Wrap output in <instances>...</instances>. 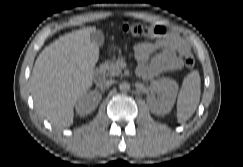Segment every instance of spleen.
<instances>
[{
  "label": "spleen",
  "mask_w": 243,
  "mask_h": 167,
  "mask_svg": "<svg viewBox=\"0 0 243 167\" xmlns=\"http://www.w3.org/2000/svg\"><path fill=\"white\" fill-rule=\"evenodd\" d=\"M201 79L197 70L187 74L183 80L177 99V120L183 122L188 120L200 101Z\"/></svg>",
  "instance_id": "1"
}]
</instances>
